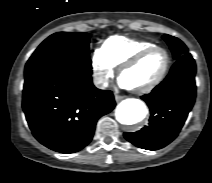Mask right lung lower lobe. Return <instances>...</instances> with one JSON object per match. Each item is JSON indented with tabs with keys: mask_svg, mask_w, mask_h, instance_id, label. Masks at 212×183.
Segmentation results:
<instances>
[{
	"mask_svg": "<svg viewBox=\"0 0 212 183\" xmlns=\"http://www.w3.org/2000/svg\"><path fill=\"white\" fill-rule=\"evenodd\" d=\"M91 63L43 60L27 63L23 110L34 137L61 153H74L92 139L97 120L116 103L111 91L92 83Z\"/></svg>",
	"mask_w": 212,
	"mask_h": 183,
	"instance_id": "1",
	"label": "right lung lower lobe"
}]
</instances>
